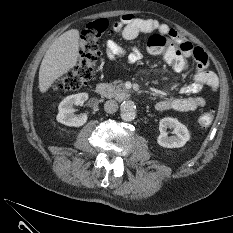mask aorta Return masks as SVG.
Listing matches in <instances>:
<instances>
[{
    "label": "aorta",
    "mask_w": 233,
    "mask_h": 233,
    "mask_svg": "<svg viewBox=\"0 0 233 233\" xmlns=\"http://www.w3.org/2000/svg\"><path fill=\"white\" fill-rule=\"evenodd\" d=\"M121 118L124 121H132L136 117V105L131 100H125L120 106Z\"/></svg>",
    "instance_id": "762f6f07"
}]
</instances>
